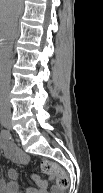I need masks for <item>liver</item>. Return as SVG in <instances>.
Instances as JSON below:
<instances>
[{
    "label": "liver",
    "instance_id": "obj_1",
    "mask_svg": "<svg viewBox=\"0 0 103 193\" xmlns=\"http://www.w3.org/2000/svg\"><path fill=\"white\" fill-rule=\"evenodd\" d=\"M21 5V0H0V22L4 35L8 34V29L13 24Z\"/></svg>",
    "mask_w": 103,
    "mask_h": 193
}]
</instances>
